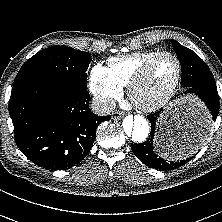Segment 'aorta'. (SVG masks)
<instances>
[{
	"instance_id": "aorta-1",
	"label": "aorta",
	"mask_w": 222,
	"mask_h": 222,
	"mask_svg": "<svg viewBox=\"0 0 222 222\" xmlns=\"http://www.w3.org/2000/svg\"><path fill=\"white\" fill-rule=\"evenodd\" d=\"M124 137L133 143H143L146 141L150 126L146 118L140 115L127 116L122 124Z\"/></svg>"
}]
</instances>
